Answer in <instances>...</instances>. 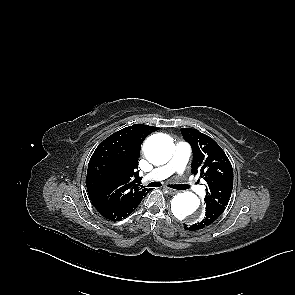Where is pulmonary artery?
Segmentation results:
<instances>
[{
  "label": "pulmonary artery",
  "instance_id": "1",
  "mask_svg": "<svg viewBox=\"0 0 295 295\" xmlns=\"http://www.w3.org/2000/svg\"><path fill=\"white\" fill-rule=\"evenodd\" d=\"M190 145L185 142H179L176 146L172 159L165 165L153 169L145 178L147 180L161 181L173 173H183L190 156ZM184 184L189 189L198 194L204 193V187L195 184L192 181L185 180Z\"/></svg>",
  "mask_w": 295,
  "mask_h": 295
}]
</instances>
